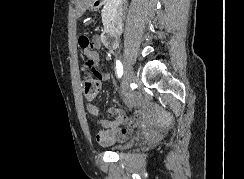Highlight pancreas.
I'll use <instances>...</instances> for the list:
<instances>
[{"label": "pancreas", "instance_id": "1", "mask_svg": "<svg viewBox=\"0 0 244 179\" xmlns=\"http://www.w3.org/2000/svg\"><path fill=\"white\" fill-rule=\"evenodd\" d=\"M106 6H108V4H106ZM104 14H106V12H103L102 16H104Z\"/></svg>", "mask_w": 244, "mask_h": 179}]
</instances>
